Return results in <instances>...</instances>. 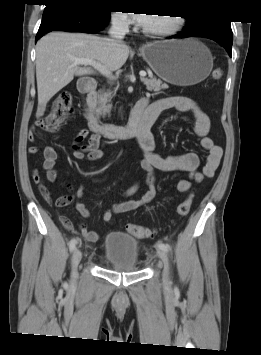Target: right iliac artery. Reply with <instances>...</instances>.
<instances>
[{
    "mask_svg": "<svg viewBox=\"0 0 261 355\" xmlns=\"http://www.w3.org/2000/svg\"><path fill=\"white\" fill-rule=\"evenodd\" d=\"M76 244H77V240L75 238L71 239V241L69 242V249L71 252L75 249Z\"/></svg>",
    "mask_w": 261,
    "mask_h": 355,
    "instance_id": "1",
    "label": "right iliac artery"
}]
</instances>
